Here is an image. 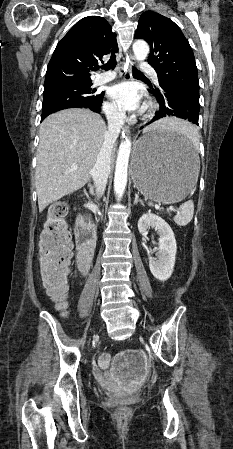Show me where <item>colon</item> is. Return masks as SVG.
I'll use <instances>...</instances> for the list:
<instances>
[{
	"mask_svg": "<svg viewBox=\"0 0 233 449\" xmlns=\"http://www.w3.org/2000/svg\"><path fill=\"white\" fill-rule=\"evenodd\" d=\"M67 204L56 201L49 206L45 226L40 235V276L47 292L62 311L66 310L68 292V269L72 258L71 237L65 216ZM124 415L126 410L119 409Z\"/></svg>",
	"mask_w": 233,
	"mask_h": 449,
	"instance_id": "1",
	"label": "colon"
}]
</instances>
